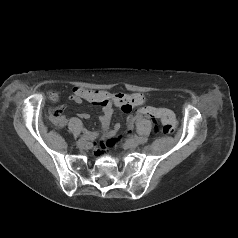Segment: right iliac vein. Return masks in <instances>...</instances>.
Segmentation results:
<instances>
[{"label": "right iliac vein", "instance_id": "right-iliac-vein-1", "mask_svg": "<svg viewBox=\"0 0 238 238\" xmlns=\"http://www.w3.org/2000/svg\"><path fill=\"white\" fill-rule=\"evenodd\" d=\"M77 145L79 148H85L88 145V141L85 138H81L78 140Z\"/></svg>", "mask_w": 238, "mask_h": 238}]
</instances>
